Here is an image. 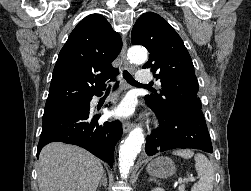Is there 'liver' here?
<instances>
[{
  "instance_id": "liver-1",
  "label": "liver",
  "mask_w": 251,
  "mask_h": 191,
  "mask_svg": "<svg viewBox=\"0 0 251 191\" xmlns=\"http://www.w3.org/2000/svg\"><path fill=\"white\" fill-rule=\"evenodd\" d=\"M103 173L100 159L77 145L52 141L40 151V191H96Z\"/></svg>"
}]
</instances>
